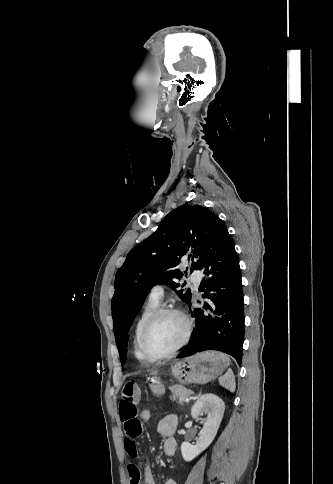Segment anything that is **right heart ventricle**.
Instances as JSON below:
<instances>
[{"mask_svg": "<svg viewBox=\"0 0 333 484\" xmlns=\"http://www.w3.org/2000/svg\"><path fill=\"white\" fill-rule=\"evenodd\" d=\"M159 308V303L158 302H155V301H152L151 299H149L138 319H137V322L135 324V327H134V331H133V341H132V345H133V350H134V354L136 356V358L143 364H149L150 361H148L142 354L141 352V349H140V339H141V334H142V330H143V327L145 325V323L147 322V320L149 319V317Z\"/></svg>", "mask_w": 333, "mask_h": 484, "instance_id": "e07e8e85", "label": "right heart ventricle"}]
</instances>
